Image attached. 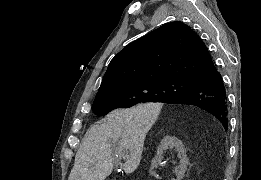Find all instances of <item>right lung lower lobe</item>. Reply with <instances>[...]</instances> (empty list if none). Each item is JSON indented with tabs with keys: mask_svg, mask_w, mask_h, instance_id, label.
I'll use <instances>...</instances> for the list:
<instances>
[{
	"mask_svg": "<svg viewBox=\"0 0 261 180\" xmlns=\"http://www.w3.org/2000/svg\"><path fill=\"white\" fill-rule=\"evenodd\" d=\"M190 91L173 97L166 103L190 104L200 107L215 116L226 129L228 126V104L221 74L213 69L201 75Z\"/></svg>",
	"mask_w": 261,
	"mask_h": 180,
	"instance_id": "obj_1",
	"label": "right lung lower lobe"
}]
</instances>
